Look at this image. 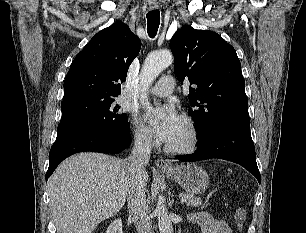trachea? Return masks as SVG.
<instances>
[{"mask_svg":"<svg viewBox=\"0 0 306 233\" xmlns=\"http://www.w3.org/2000/svg\"><path fill=\"white\" fill-rule=\"evenodd\" d=\"M147 17V32L151 38L155 37L160 24V12L158 10L149 11Z\"/></svg>","mask_w":306,"mask_h":233,"instance_id":"3493384b","label":"trachea"}]
</instances>
